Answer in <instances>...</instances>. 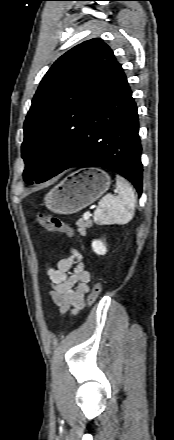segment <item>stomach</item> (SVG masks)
I'll list each match as a JSON object with an SVG mask.
<instances>
[{
	"instance_id": "obj_1",
	"label": "stomach",
	"mask_w": 174,
	"mask_h": 440,
	"mask_svg": "<svg viewBox=\"0 0 174 440\" xmlns=\"http://www.w3.org/2000/svg\"><path fill=\"white\" fill-rule=\"evenodd\" d=\"M110 184V176L101 169H79L46 194L45 205L54 213L71 215L94 203Z\"/></svg>"
}]
</instances>
